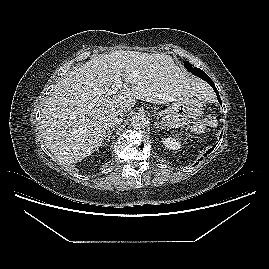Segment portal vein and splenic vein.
<instances>
[{
    "instance_id": "portal-vein-and-splenic-vein-1",
    "label": "portal vein and splenic vein",
    "mask_w": 269,
    "mask_h": 269,
    "mask_svg": "<svg viewBox=\"0 0 269 269\" xmlns=\"http://www.w3.org/2000/svg\"><path fill=\"white\" fill-rule=\"evenodd\" d=\"M123 83L121 81V77H120V74L117 73L115 76H114V83L113 85L111 86V88L108 90V94L109 95H113V94H116L117 91L122 87Z\"/></svg>"
}]
</instances>
